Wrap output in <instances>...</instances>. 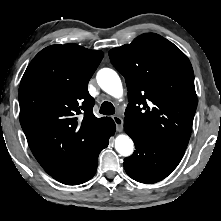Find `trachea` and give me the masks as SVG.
<instances>
[{
    "instance_id": "3493384b",
    "label": "trachea",
    "mask_w": 221,
    "mask_h": 221,
    "mask_svg": "<svg viewBox=\"0 0 221 221\" xmlns=\"http://www.w3.org/2000/svg\"><path fill=\"white\" fill-rule=\"evenodd\" d=\"M99 112L104 115H113L115 108L111 102L105 101L102 103Z\"/></svg>"
}]
</instances>
